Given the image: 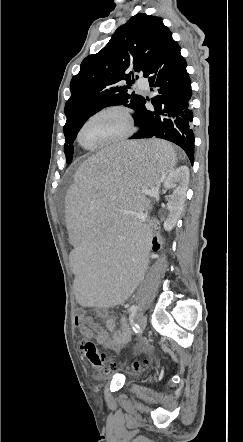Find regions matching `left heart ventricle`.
Here are the masks:
<instances>
[{
    "label": "left heart ventricle",
    "instance_id": "b2bd125f",
    "mask_svg": "<svg viewBox=\"0 0 243 442\" xmlns=\"http://www.w3.org/2000/svg\"><path fill=\"white\" fill-rule=\"evenodd\" d=\"M125 129V120L119 113L102 114L84 126L81 141L87 146H96L121 135Z\"/></svg>",
    "mask_w": 243,
    "mask_h": 442
}]
</instances>
